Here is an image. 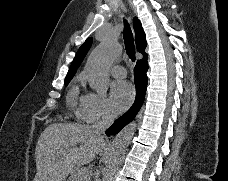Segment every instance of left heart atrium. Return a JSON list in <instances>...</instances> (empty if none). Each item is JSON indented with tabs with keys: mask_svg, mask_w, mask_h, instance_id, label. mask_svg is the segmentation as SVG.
<instances>
[{
	"mask_svg": "<svg viewBox=\"0 0 228 181\" xmlns=\"http://www.w3.org/2000/svg\"><path fill=\"white\" fill-rule=\"evenodd\" d=\"M112 102L115 108H124L134 96L132 85L127 81H117L111 88Z\"/></svg>",
	"mask_w": 228,
	"mask_h": 181,
	"instance_id": "obj_1",
	"label": "left heart atrium"
}]
</instances>
